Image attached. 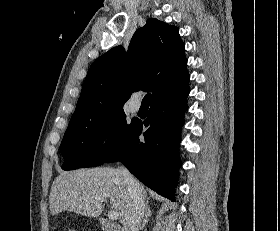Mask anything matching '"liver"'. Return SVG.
<instances>
[{
	"label": "liver",
	"instance_id": "liver-1",
	"mask_svg": "<svg viewBox=\"0 0 280 231\" xmlns=\"http://www.w3.org/2000/svg\"><path fill=\"white\" fill-rule=\"evenodd\" d=\"M143 197L147 191L140 185ZM109 197L112 209H116L121 223L130 211V195L121 169L117 167H93L62 171L54 179L49 195L50 213L70 209L80 215L99 217L103 211V199Z\"/></svg>",
	"mask_w": 280,
	"mask_h": 231
}]
</instances>
